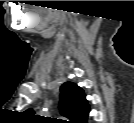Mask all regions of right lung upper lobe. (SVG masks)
Listing matches in <instances>:
<instances>
[{
  "label": "right lung upper lobe",
  "mask_w": 134,
  "mask_h": 123,
  "mask_svg": "<svg viewBox=\"0 0 134 123\" xmlns=\"http://www.w3.org/2000/svg\"><path fill=\"white\" fill-rule=\"evenodd\" d=\"M60 90L61 114L68 118L70 123H86L89 106L83 90L72 82H65ZM26 112L34 114L31 109Z\"/></svg>",
  "instance_id": "right-lung-upper-lobe-1"
}]
</instances>
